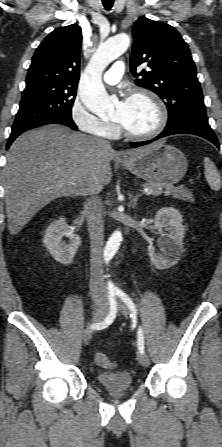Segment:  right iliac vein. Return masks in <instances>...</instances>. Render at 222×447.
Segmentation results:
<instances>
[{
	"label": "right iliac vein",
	"instance_id": "1",
	"mask_svg": "<svg viewBox=\"0 0 222 447\" xmlns=\"http://www.w3.org/2000/svg\"><path fill=\"white\" fill-rule=\"evenodd\" d=\"M107 312V308L105 306H98L95 310V313L92 318V324L100 322ZM92 336V328L88 327L83 332V342L87 345Z\"/></svg>",
	"mask_w": 222,
	"mask_h": 447
}]
</instances>
